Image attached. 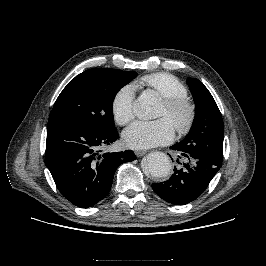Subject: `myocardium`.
<instances>
[{
  "instance_id": "1",
  "label": "myocardium",
  "mask_w": 266,
  "mask_h": 266,
  "mask_svg": "<svg viewBox=\"0 0 266 266\" xmlns=\"http://www.w3.org/2000/svg\"><path fill=\"white\" fill-rule=\"evenodd\" d=\"M165 104L170 116L173 117V125L178 133H188L196 119L197 109L195 103L188 96L164 97Z\"/></svg>"
}]
</instances>
